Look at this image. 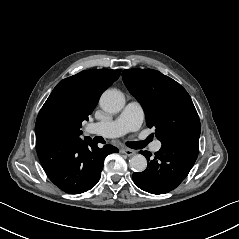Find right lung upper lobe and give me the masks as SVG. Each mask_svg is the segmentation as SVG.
<instances>
[{"mask_svg": "<svg viewBox=\"0 0 239 239\" xmlns=\"http://www.w3.org/2000/svg\"><path fill=\"white\" fill-rule=\"evenodd\" d=\"M121 70L94 69L82 71L62 80L52 91L40 110L36 125V138L50 133L48 116L57 110H69L82 114L88 120L98 103L101 92L112 84Z\"/></svg>", "mask_w": 239, "mask_h": 239, "instance_id": "1", "label": "right lung upper lobe"}]
</instances>
